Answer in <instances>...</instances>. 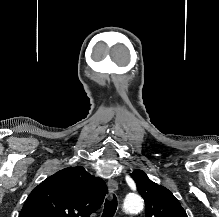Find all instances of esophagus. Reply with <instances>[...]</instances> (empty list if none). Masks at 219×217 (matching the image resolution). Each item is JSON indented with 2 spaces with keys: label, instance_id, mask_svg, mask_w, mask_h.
Returning <instances> with one entry per match:
<instances>
[{
  "label": "esophagus",
  "instance_id": "1",
  "mask_svg": "<svg viewBox=\"0 0 219 217\" xmlns=\"http://www.w3.org/2000/svg\"><path fill=\"white\" fill-rule=\"evenodd\" d=\"M107 185H108V189H109L110 194H113L118 188V183L113 178L108 180Z\"/></svg>",
  "mask_w": 219,
  "mask_h": 217
}]
</instances>
